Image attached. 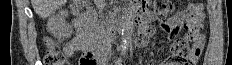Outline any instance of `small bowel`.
Returning <instances> with one entry per match:
<instances>
[{"label": "small bowel", "instance_id": "c3829d8e", "mask_svg": "<svg viewBox=\"0 0 232 65\" xmlns=\"http://www.w3.org/2000/svg\"><path fill=\"white\" fill-rule=\"evenodd\" d=\"M142 11V19L146 21L147 28L141 29V33H138V40L136 41L137 46H144L146 44V38L149 34H153V29L149 27V22L154 18L152 11L148 10L145 5L140 6ZM76 35L70 40L65 46V52L68 56H73L77 51L86 50L90 51L87 47L88 40L86 34L77 26L75 23ZM162 28L165 29L170 35H176L180 32L181 29H186V14L177 13L172 18H170L166 23L162 24ZM205 42L204 35L200 32L197 36V39L194 41V51L189 58V63L194 64L197 62L201 51L203 49ZM100 59L103 61L105 59L104 52L97 53ZM159 65H184L173 59L165 61Z\"/></svg>", "mask_w": 232, "mask_h": 65}]
</instances>
